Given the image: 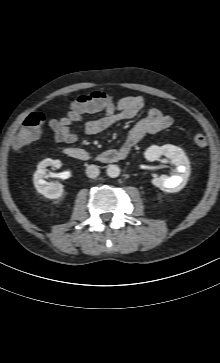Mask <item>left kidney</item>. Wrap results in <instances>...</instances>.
Segmentation results:
<instances>
[{
	"label": "left kidney",
	"instance_id": "left-kidney-1",
	"mask_svg": "<svg viewBox=\"0 0 220 363\" xmlns=\"http://www.w3.org/2000/svg\"><path fill=\"white\" fill-rule=\"evenodd\" d=\"M164 155L176 165L175 173L171 176L162 175L154 178L152 183L165 192H178L186 184L190 175V163L185 153L174 145H163L161 147L151 146L145 152L149 161L157 160Z\"/></svg>",
	"mask_w": 220,
	"mask_h": 363
}]
</instances>
